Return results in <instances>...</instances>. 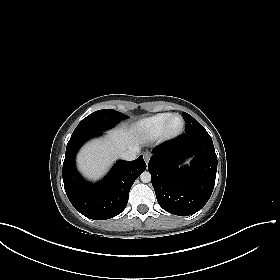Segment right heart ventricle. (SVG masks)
Segmentation results:
<instances>
[{
  "label": "right heart ventricle",
  "instance_id": "1",
  "mask_svg": "<svg viewBox=\"0 0 280 280\" xmlns=\"http://www.w3.org/2000/svg\"><path fill=\"white\" fill-rule=\"evenodd\" d=\"M171 113H159L140 120L135 131L145 139H156L161 135L162 128Z\"/></svg>",
  "mask_w": 280,
  "mask_h": 280
}]
</instances>
